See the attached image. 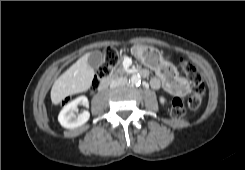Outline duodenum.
<instances>
[{"label":"duodenum","mask_w":245,"mask_h":170,"mask_svg":"<svg viewBox=\"0 0 245 170\" xmlns=\"http://www.w3.org/2000/svg\"><path fill=\"white\" fill-rule=\"evenodd\" d=\"M138 74L141 75V76H144V75L146 74V72H145V70H140V71L138 72ZM109 81H110L109 79L103 80V81L99 84L98 90H104V89L108 86Z\"/></svg>","instance_id":"410a0bca"}]
</instances>
